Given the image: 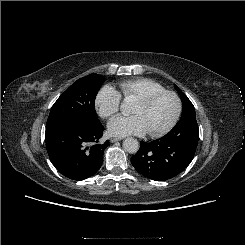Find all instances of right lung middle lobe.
Wrapping results in <instances>:
<instances>
[{"instance_id":"obj_1","label":"right lung middle lobe","mask_w":245,"mask_h":245,"mask_svg":"<svg viewBox=\"0 0 245 245\" xmlns=\"http://www.w3.org/2000/svg\"><path fill=\"white\" fill-rule=\"evenodd\" d=\"M104 81L100 75L90 74L74 82L52 106L47 125L59 122L89 127L102 125L96 115L94 103Z\"/></svg>"}]
</instances>
